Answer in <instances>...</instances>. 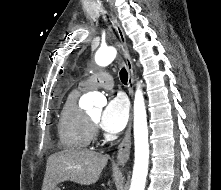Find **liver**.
Here are the masks:
<instances>
[{
    "label": "liver",
    "instance_id": "liver-1",
    "mask_svg": "<svg viewBox=\"0 0 221 190\" xmlns=\"http://www.w3.org/2000/svg\"><path fill=\"white\" fill-rule=\"evenodd\" d=\"M107 157L88 149H65L49 156L42 190H54L64 181L94 184L107 164Z\"/></svg>",
    "mask_w": 221,
    "mask_h": 190
}]
</instances>
